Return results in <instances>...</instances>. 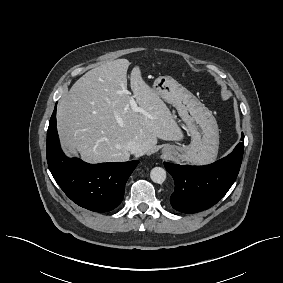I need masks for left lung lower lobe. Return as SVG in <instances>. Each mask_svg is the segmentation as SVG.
Masks as SVG:
<instances>
[{
  "instance_id": "0a47b994",
  "label": "left lung lower lobe",
  "mask_w": 283,
  "mask_h": 283,
  "mask_svg": "<svg viewBox=\"0 0 283 283\" xmlns=\"http://www.w3.org/2000/svg\"><path fill=\"white\" fill-rule=\"evenodd\" d=\"M241 140H244L242 134ZM244 142L221 160L206 166L176 165L164 162L175 181L170 203L182 213H196L216 204L230 189L240 170Z\"/></svg>"
}]
</instances>
